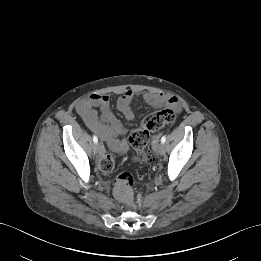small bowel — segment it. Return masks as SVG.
<instances>
[{"mask_svg":"<svg viewBox=\"0 0 261 261\" xmlns=\"http://www.w3.org/2000/svg\"><path fill=\"white\" fill-rule=\"evenodd\" d=\"M144 102L151 108L168 107L174 111H180L181 102L174 96L163 92L144 93ZM135 93L126 90L116 101L117 109L127 120L134 117L132 104ZM101 110V114L97 112ZM77 112L85 124L109 146H114L115 138L126 134V129L111 110V102L108 95L92 94L80 100L77 104Z\"/></svg>","mask_w":261,"mask_h":261,"instance_id":"1","label":"small bowel"}]
</instances>
